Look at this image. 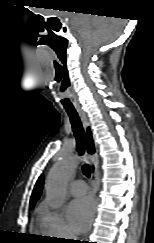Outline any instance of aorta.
<instances>
[{"mask_svg": "<svg viewBox=\"0 0 154 243\" xmlns=\"http://www.w3.org/2000/svg\"><path fill=\"white\" fill-rule=\"evenodd\" d=\"M77 165V158L72 154H67L49 172L46 194L52 208L57 209L63 205L67 182L75 172Z\"/></svg>", "mask_w": 154, "mask_h": 243, "instance_id": "aorta-1", "label": "aorta"}]
</instances>
